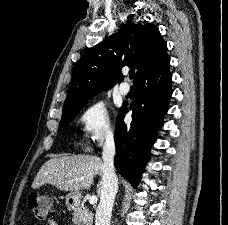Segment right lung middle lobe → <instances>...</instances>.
<instances>
[{
	"instance_id": "obj_1",
	"label": "right lung middle lobe",
	"mask_w": 228,
	"mask_h": 225,
	"mask_svg": "<svg viewBox=\"0 0 228 225\" xmlns=\"http://www.w3.org/2000/svg\"><path fill=\"white\" fill-rule=\"evenodd\" d=\"M86 102H87V100L80 102V103H76V104H72V105L63 107L62 117H61V121L59 124L60 127L68 126L70 121L77 115L79 110H81L83 108V106L85 105Z\"/></svg>"
}]
</instances>
